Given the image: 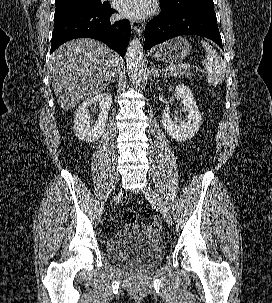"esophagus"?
Instances as JSON below:
<instances>
[{
  "mask_svg": "<svg viewBox=\"0 0 272 303\" xmlns=\"http://www.w3.org/2000/svg\"><path fill=\"white\" fill-rule=\"evenodd\" d=\"M131 26L133 30L138 34L141 35L144 30V23L141 21H136V20H130Z\"/></svg>",
  "mask_w": 272,
  "mask_h": 303,
  "instance_id": "obj_1",
  "label": "esophagus"
}]
</instances>
